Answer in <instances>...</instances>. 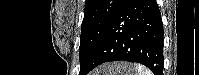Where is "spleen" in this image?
<instances>
[{
    "mask_svg": "<svg viewBox=\"0 0 199 75\" xmlns=\"http://www.w3.org/2000/svg\"><path fill=\"white\" fill-rule=\"evenodd\" d=\"M134 67L137 71L136 75H153L151 70H149V69H147V68H145V67H143L139 64L135 65Z\"/></svg>",
    "mask_w": 199,
    "mask_h": 75,
    "instance_id": "3e777b00",
    "label": "spleen"
}]
</instances>
